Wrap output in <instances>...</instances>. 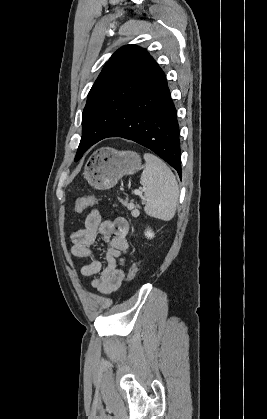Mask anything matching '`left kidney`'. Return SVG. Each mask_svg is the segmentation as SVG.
Masks as SVG:
<instances>
[{"label": "left kidney", "mask_w": 267, "mask_h": 419, "mask_svg": "<svg viewBox=\"0 0 267 419\" xmlns=\"http://www.w3.org/2000/svg\"><path fill=\"white\" fill-rule=\"evenodd\" d=\"M145 236L147 237V238H153L154 237V233L152 232V230L151 229H147L146 230V232H145Z\"/></svg>", "instance_id": "5707ae66"}]
</instances>
